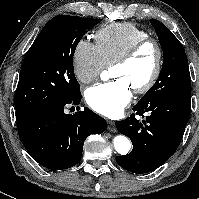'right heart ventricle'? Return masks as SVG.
Returning <instances> with one entry per match:
<instances>
[{"mask_svg":"<svg viewBox=\"0 0 199 199\" xmlns=\"http://www.w3.org/2000/svg\"><path fill=\"white\" fill-rule=\"evenodd\" d=\"M147 37L144 29L129 22L109 24L99 29L95 35L106 66L112 65L134 43Z\"/></svg>","mask_w":199,"mask_h":199,"instance_id":"right-heart-ventricle-1","label":"right heart ventricle"}]
</instances>
